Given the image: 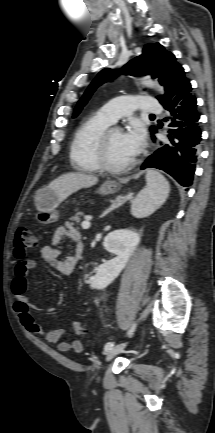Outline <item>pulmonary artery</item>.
Returning a JSON list of instances; mask_svg holds the SVG:
<instances>
[{
  "instance_id": "1",
  "label": "pulmonary artery",
  "mask_w": 215,
  "mask_h": 433,
  "mask_svg": "<svg viewBox=\"0 0 215 433\" xmlns=\"http://www.w3.org/2000/svg\"><path fill=\"white\" fill-rule=\"evenodd\" d=\"M137 109L146 113L157 114L162 112L163 107L152 96H120L104 104L99 112L111 123H115L120 117L130 115Z\"/></svg>"
}]
</instances>
